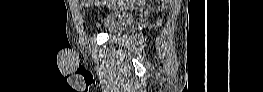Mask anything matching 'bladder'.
I'll return each mask as SVG.
<instances>
[{"instance_id":"obj_1","label":"bladder","mask_w":263,"mask_h":92,"mask_svg":"<svg viewBox=\"0 0 263 92\" xmlns=\"http://www.w3.org/2000/svg\"><path fill=\"white\" fill-rule=\"evenodd\" d=\"M133 21V14L124 10H116L107 15L105 19V31L116 34L125 29Z\"/></svg>"}]
</instances>
